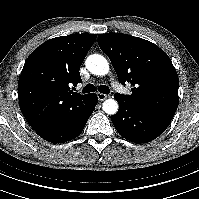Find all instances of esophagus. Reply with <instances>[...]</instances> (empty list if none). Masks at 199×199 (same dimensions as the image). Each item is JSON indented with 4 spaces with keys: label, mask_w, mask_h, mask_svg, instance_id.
<instances>
[{
    "label": "esophagus",
    "mask_w": 199,
    "mask_h": 199,
    "mask_svg": "<svg viewBox=\"0 0 199 199\" xmlns=\"http://www.w3.org/2000/svg\"><path fill=\"white\" fill-rule=\"evenodd\" d=\"M97 97H98L99 101H103V100L109 98V95H106V94H103V93H99V92H98V93H97Z\"/></svg>",
    "instance_id": "1"
}]
</instances>
